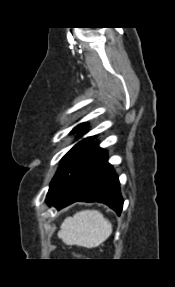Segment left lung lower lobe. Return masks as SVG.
Masks as SVG:
<instances>
[{"label":"left lung lower lobe","instance_id":"left-lung-lower-lobe-1","mask_svg":"<svg viewBox=\"0 0 175 287\" xmlns=\"http://www.w3.org/2000/svg\"><path fill=\"white\" fill-rule=\"evenodd\" d=\"M76 201L104 203L120 215L123 207L120 184L112 165L108 163L107 151H103L77 180L57 199L50 202V205L63 208Z\"/></svg>","mask_w":175,"mask_h":287}]
</instances>
